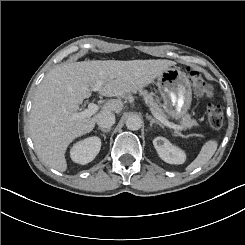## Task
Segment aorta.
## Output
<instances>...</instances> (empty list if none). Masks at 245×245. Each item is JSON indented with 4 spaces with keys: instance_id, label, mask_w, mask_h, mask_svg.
Masks as SVG:
<instances>
[{
    "instance_id": "obj_1",
    "label": "aorta",
    "mask_w": 245,
    "mask_h": 245,
    "mask_svg": "<svg viewBox=\"0 0 245 245\" xmlns=\"http://www.w3.org/2000/svg\"><path fill=\"white\" fill-rule=\"evenodd\" d=\"M126 126L129 130L136 131L142 126L141 118L138 115H131L126 119Z\"/></svg>"
}]
</instances>
